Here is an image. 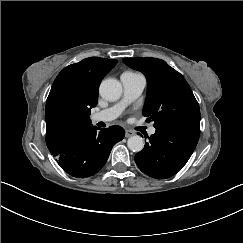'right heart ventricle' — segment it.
Returning a JSON list of instances; mask_svg holds the SVG:
<instances>
[{
	"instance_id": "obj_1",
	"label": "right heart ventricle",
	"mask_w": 243,
	"mask_h": 243,
	"mask_svg": "<svg viewBox=\"0 0 243 243\" xmlns=\"http://www.w3.org/2000/svg\"><path fill=\"white\" fill-rule=\"evenodd\" d=\"M140 74L135 71H125L122 73L121 78L138 79Z\"/></svg>"
}]
</instances>
